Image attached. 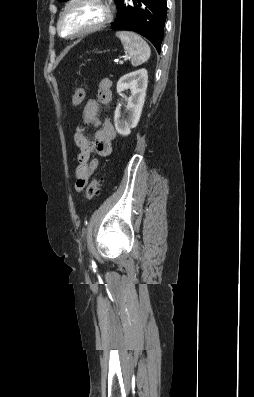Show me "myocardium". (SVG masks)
<instances>
[{
    "label": "myocardium",
    "mask_w": 254,
    "mask_h": 397,
    "mask_svg": "<svg viewBox=\"0 0 254 397\" xmlns=\"http://www.w3.org/2000/svg\"><path fill=\"white\" fill-rule=\"evenodd\" d=\"M82 1H85V0H69L65 4V6L63 7L61 13L59 14V17H58V20H57V24H56L57 31H58V33H59V35L61 37L66 38V39L78 38V37L87 35L89 33H93V32H96L98 30H101L102 28L106 27L112 21V19H113V9H112L111 5L107 2V0H88V1L96 2V3L100 4L103 7V9H104V17L102 18L101 21H99L98 23H96V24H94L92 26L86 27V28H84V29H82V30H80L78 32L73 33V34L65 35L62 32V28H61L62 21H63L65 15L67 14L68 10L74 4L82 2Z\"/></svg>",
    "instance_id": "1"
}]
</instances>
